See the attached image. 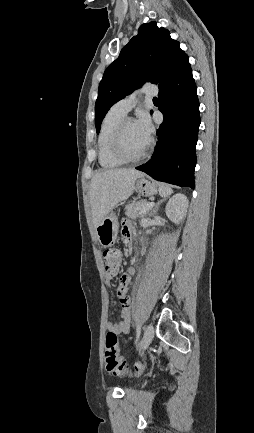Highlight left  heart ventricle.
I'll return each instance as SVG.
<instances>
[{"mask_svg":"<svg viewBox=\"0 0 254 433\" xmlns=\"http://www.w3.org/2000/svg\"><path fill=\"white\" fill-rule=\"evenodd\" d=\"M148 140L140 133L135 121L126 124L123 133V146L128 155H138L146 147Z\"/></svg>","mask_w":254,"mask_h":433,"instance_id":"1","label":"left heart ventricle"}]
</instances>
